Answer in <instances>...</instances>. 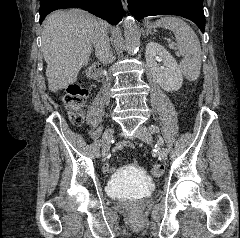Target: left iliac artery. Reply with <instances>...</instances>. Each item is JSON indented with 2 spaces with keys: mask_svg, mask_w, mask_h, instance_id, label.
I'll list each match as a JSON object with an SVG mask.
<instances>
[{
  "mask_svg": "<svg viewBox=\"0 0 240 238\" xmlns=\"http://www.w3.org/2000/svg\"><path fill=\"white\" fill-rule=\"evenodd\" d=\"M149 129H150L152 132H157V131H158V127H157V126H153V125H152ZM165 145L167 146L168 144L166 143ZM165 145H162V146H161V150H162L163 153H166L167 150H168Z\"/></svg>",
  "mask_w": 240,
  "mask_h": 238,
  "instance_id": "1",
  "label": "left iliac artery"
}]
</instances>
